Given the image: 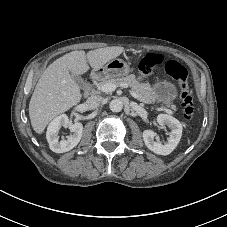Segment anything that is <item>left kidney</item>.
<instances>
[{
  "label": "left kidney",
  "mask_w": 227,
  "mask_h": 227,
  "mask_svg": "<svg viewBox=\"0 0 227 227\" xmlns=\"http://www.w3.org/2000/svg\"><path fill=\"white\" fill-rule=\"evenodd\" d=\"M157 123L159 129L166 130V126L171 129L170 137L167 139V143L163 145L160 141H154V137H156L157 134L151 129H146L143 131V140L148 149L153 151L155 154L164 156L169 155L180 142L183 124L174 117L166 114L158 115Z\"/></svg>",
  "instance_id": "left-kidney-1"
}]
</instances>
